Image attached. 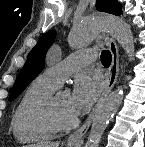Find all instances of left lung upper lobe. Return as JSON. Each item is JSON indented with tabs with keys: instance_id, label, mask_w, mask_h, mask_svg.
<instances>
[{
	"instance_id": "1",
	"label": "left lung upper lobe",
	"mask_w": 145,
	"mask_h": 147,
	"mask_svg": "<svg viewBox=\"0 0 145 147\" xmlns=\"http://www.w3.org/2000/svg\"><path fill=\"white\" fill-rule=\"evenodd\" d=\"M96 9L114 15H120L122 13L121 4L117 0H97ZM55 37L56 31L54 30L45 33L40 38L37 45L31 50L10 92V102L13 101L43 70L47 50L54 42Z\"/></svg>"
}]
</instances>
